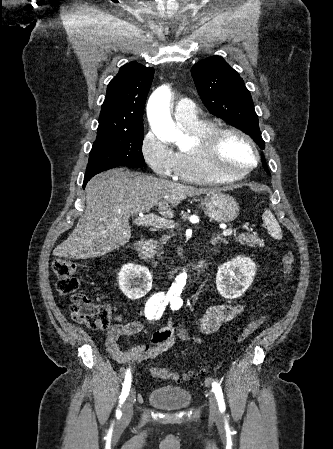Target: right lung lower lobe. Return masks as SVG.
I'll list each match as a JSON object with an SVG mask.
<instances>
[{
    "mask_svg": "<svg viewBox=\"0 0 333 449\" xmlns=\"http://www.w3.org/2000/svg\"><path fill=\"white\" fill-rule=\"evenodd\" d=\"M93 177V175H85L84 182H83V188L85 187L86 183Z\"/></svg>",
    "mask_w": 333,
    "mask_h": 449,
    "instance_id": "right-lung-lower-lobe-1",
    "label": "right lung lower lobe"
}]
</instances>
